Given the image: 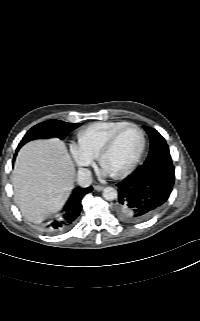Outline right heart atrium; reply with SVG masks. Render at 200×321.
Listing matches in <instances>:
<instances>
[{"mask_svg":"<svg viewBox=\"0 0 200 321\" xmlns=\"http://www.w3.org/2000/svg\"><path fill=\"white\" fill-rule=\"evenodd\" d=\"M70 153L71 156L80 169V171L85 172L87 167L92 164L94 156L85 151L79 143L70 144Z\"/></svg>","mask_w":200,"mask_h":321,"instance_id":"right-heart-atrium-1","label":"right heart atrium"}]
</instances>
